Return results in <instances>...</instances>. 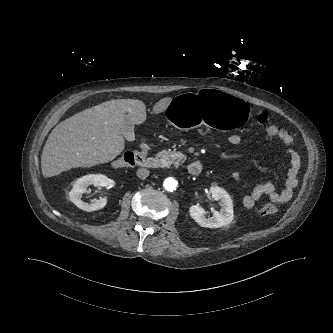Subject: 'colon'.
I'll return each mask as SVG.
<instances>
[{
    "label": "colon",
    "mask_w": 333,
    "mask_h": 333,
    "mask_svg": "<svg viewBox=\"0 0 333 333\" xmlns=\"http://www.w3.org/2000/svg\"><path fill=\"white\" fill-rule=\"evenodd\" d=\"M258 124L269 138H276L278 136L280 129L274 124H272L270 119L266 115L262 114L258 117ZM146 154L147 151L142 149L136 151H127L114 161V166L121 168L139 165L145 159ZM276 211L277 207L275 203L271 200L265 202L260 209V213L263 216L272 215Z\"/></svg>",
    "instance_id": "colon-1"
}]
</instances>
